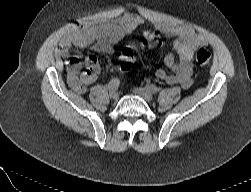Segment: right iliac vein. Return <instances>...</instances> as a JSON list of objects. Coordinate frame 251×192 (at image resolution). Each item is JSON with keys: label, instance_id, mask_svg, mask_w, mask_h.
<instances>
[{"label": "right iliac vein", "instance_id": "1", "mask_svg": "<svg viewBox=\"0 0 251 192\" xmlns=\"http://www.w3.org/2000/svg\"><path fill=\"white\" fill-rule=\"evenodd\" d=\"M109 95L113 100H117L119 98V94L115 90L110 91Z\"/></svg>", "mask_w": 251, "mask_h": 192}]
</instances>
